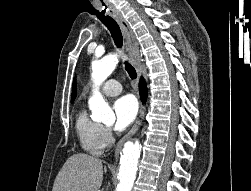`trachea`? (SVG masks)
I'll use <instances>...</instances> for the list:
<instances>
[{
    "instance_id": "3493384b",
    "label": "trachea",
    "mask_w": 251,
    "mask_h": 191,
    "mask_svg": "<svg viewBox=\"0 0 251 191\" xmlns=\"http://www.w3.org/2000/svg\"><path fill=\"white\" fill-rule=\"evenodd\" d=\"M97 17L99 18V20H101V22L108 28V30L110 31L112 38L114 40L115 45L118 48H122L123 45V36H122V32L120 30V27L118 25V23H116V21L114 20V18L109 17V15H97ZM125 70L127 71L128 75L130 76V78L132 80H135V78L137 77L136 74V70L135 68L129 63V62H125Z\"/></svg>"
}]
</instances>
